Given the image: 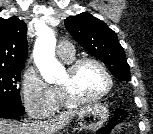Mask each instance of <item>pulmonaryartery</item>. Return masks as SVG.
<instances>
[{
	"mask_svg": "<svg viewBox=\"0 0 153 134\" xmlns=\"http://www.w3.org/2000/svg\"><path fill=\"white\" fill-rule=\"evenodd\" d=\"M56 53L63 60H70L74 56V47L68 41H61L57 46Z\"/></svg>",
	"mask_w": 153,
	"mask_h": 134,
	"instance_id": "1",
	"label": "pulmonary artery"
}]
</instances>
